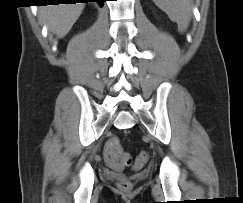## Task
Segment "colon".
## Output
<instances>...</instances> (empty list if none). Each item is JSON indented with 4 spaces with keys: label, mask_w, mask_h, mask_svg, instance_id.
Returning <instances> with one entry per match:
<instances>
[{
    "label": "colon",
    "mask_w": 243,
    "mask_h": 203,
    "mask_svg": "<svg viewBox=\"0 0 243 203\" xmlns=\"http://www.w3.org/2000/svg\"><path fill=\"white\" fill-rule=\"evenodd\" d=\"M148 157L149 156L147 152H141L137 159L138 165L141 166L144 164L148 160ZM118 160L123 165H129L131 163L130 155L127 152L122 151V149L118 153ZM118 188L123 192H130L133 188V184L129 179L121 178L118 181Z\"/></svg>",
    "instance_id": "1"
}]
</instances>
